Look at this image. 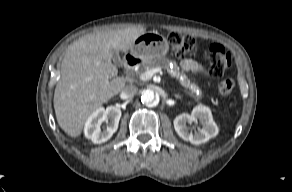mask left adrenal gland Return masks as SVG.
Instances as JSON below:
<instances>
[{
	"mask_svg": "<svg viewBox=\"0 0 292 192\" xmlns=\"http://www.w3.org/2000/svg\"><path fill=\"white\" fill-rule=\"evenodd\" d=\"M174 97H175L176 99H181V97H180L179 95H177V94H175Z\"/></svg>",
	"mask_w": 292,
	"mask_h": 192,
	"instance_id": "a2214340",
	"label": "left adrenal gland"
}]
</instances>
